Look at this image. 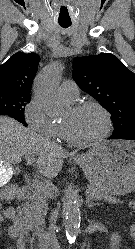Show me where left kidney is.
Segmentation results:
<instances>
[{
    "instance_id": "5707ae66",
    "label": "left kidney",
    "mask_w": 135,
    "mask_h": 249,
    "mask_svg": "<svg viewBox=\"0 0 135 249\" xmlns=\"http://www.w3.org/2000/svg\"><path fill=\"white\" fill-rule=\"evenodd\" d=\"M120 237L117 233L112 234L111 236V248L110 249H119Z\"/></svg>"
}]
</instances>
